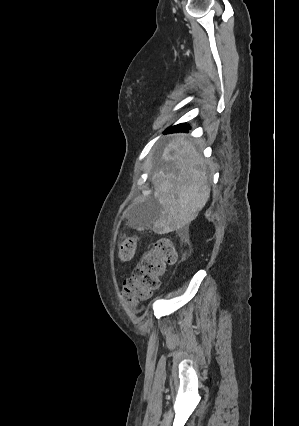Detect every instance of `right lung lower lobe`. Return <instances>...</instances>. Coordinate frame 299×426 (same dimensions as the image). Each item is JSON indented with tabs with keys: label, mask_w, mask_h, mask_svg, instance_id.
Listing matches in <instances>:
<instances>
[{
	"label": "right lung lower lobe",
	"mask_w": 299,
	"mask_h": 426,
	"mask_svg": "<svg viewBox=\"0 0 299 426\" xmlns=\"http://www.w3.org/2000/svg\"><path fill=\"white\" fill-rule=\"evenodd\" d=\"M188 129L189 127L183 123V124H178L176 126L169 128L166 132L170 133V132L186 131Z\"/></svg>",
	"instance_id": "obj_1"
}]
</instances>
